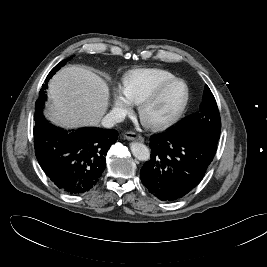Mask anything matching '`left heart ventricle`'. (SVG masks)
Returning a JSON list of instances; mask_svg holds the SVG:
<instances>
[{
    "mask_svg": "<svg viewBox=\"0 0 267 267\" xmlns=\"http://www.w3.org/2000/svg\"><path fill=\"white\" fill-rule=\"evenodd\" d=\"M183 96L184 88L182 86L175 87L150 109L149 115L151 117H161L169 114L179 105Z\"/></svg>",
    "mask_w": 267,
    "mask_h": 267,
    "instance_id": "1",
    "label": "left heart ventricle"
}]
</instances>
